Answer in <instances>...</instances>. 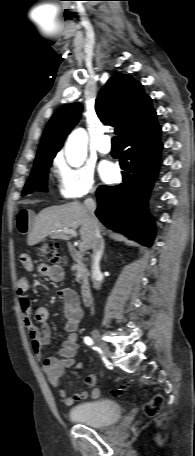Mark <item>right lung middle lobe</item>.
I'll return each instance as SVG.
<instances>
[{"mask_svg": "<svg viewBox=\"0 0 195 456\" xmlns=\"http://www.w3.org/2000/svg\"><path fill=\"white\" fill-rule=\"evenodd\" d=\"M51 162L52 159H45L34 165L31 176L23 189L22 195H26L34 191L47 190V176Z\"/></svg>", "mask_w": 195, "mask_h": 456, "instance_id": "obj_1", "label": "right lung middle lobe"}]
</instances>
